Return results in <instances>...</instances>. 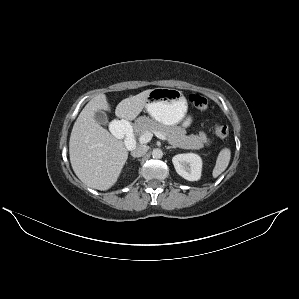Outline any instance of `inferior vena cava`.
Wrapping results in <instances>:
<instances>
[{
	"instance_id": "inferior-vena-cava-1",
	"label": "inferior vena cava",
	"mask_w": 299,
	"mask_h": 299,
	"mask_svg": "<svg viewBox=\"0 0 299 299\" xmlns=\"http://www.w3.org/2000/svg\"><path fill=\"white\" fill-rule=\"evenodd\" d=\"M148 151V146L138 145L132 151L131 154L133 157H141Z\"/></svg>"
}]
</instances>
